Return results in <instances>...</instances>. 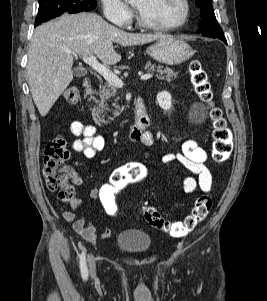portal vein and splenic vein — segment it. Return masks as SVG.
<instances>
[{
    "mask_svg": "<svg viewBox=\"0 0 267 301\" xmlns=\"http://www.w3.org/2000/svg\"><path fill=\"white\" fill-rule=\"evenodd\" d=\"M83 61L88 64L92 69L97 71L100 75L104 77V79L109 82L111 85L117 88H121L123 86V81L110 69L106 66L100 64L94 55L89 57H83ZM152 73L140 74L141 80H148L152 78Z\"/></svg>",
    "mask_w": 267,
    "mask_h": 301,
    "instance_id": "obj_1",
    "label": "portal vein and splenic vein"
}]
</instances>
